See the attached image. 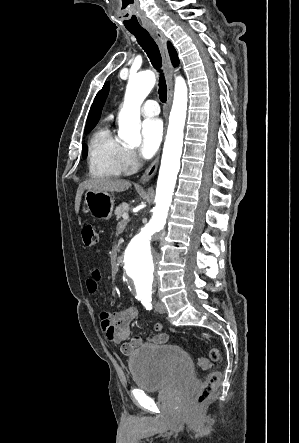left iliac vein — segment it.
I'll return each instance as SVG.
<instances>
[{"label": "left iliac vein", "mask_w": 299, "mask_h": 443, "mask_svg": "<svg viewBox=\"0 0 299 443\" xmlns=\"http://www.w3.org/2000/svg\"><path fill=\"white\" fill-rule=\"evenodd\" d=\"M156 310H157L159 313H165V312H166V307H165V305H164L162 302H158V303L156 304Z\"/></svg>", "instance_id": "left-iliac-vein-1"}]
</instances>
